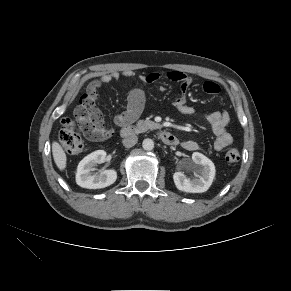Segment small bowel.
Returning <instances> with one entry per match:
<instances>
[{"label": "small bowel", "instance_id": "c3829d8e", "mask_svg": "<svg viewBox=\"0 0 291 291\" xmlns=\"http://www.w3.org/2000/svg\"><path fill=\"white\" fill-rule=\"evenodd\" d=\"M136 75L132 71L125 72H113L110 74L102 75L100 78L91 82L88 86V90H98L99 88L108 85L113 81L120 80L121 78L132 79ZM163 75L159 72H151L147 74H141L138 79L146 84L154 83L160 80ZM166 77L173 82L180 84L179 92L176 98L173 100V106L177 111L185 115H192L195 113V108L186 103V91L192 84V77L180 72L170 71L166 74ZM203 90L211 95H216L220 92V87L217 83L207 81L203 84ZM145 104V93L142 89L134 87L130 90L127 97L126 109L118 114L114 118V123L119 126L125 124H131L139 118ZM98 118L94 124L93 130L87 136L95 141H100L110 137L113 133L111 128L104 125L103 119L99 110L97 109ZM207 122L209 123L216 138L213 143V147L217 151H221L233 143V137L228 132L227 126L229 123V114L226 111H215L207 115ZM182 147L188 151H195L199 149V144L193 140H186L182 142Z\"/></svg>", "mask_w": 291, "mask_h": 291}]
</instances>
